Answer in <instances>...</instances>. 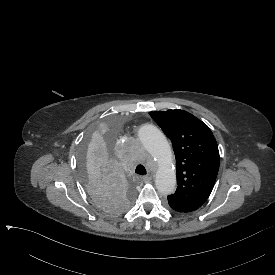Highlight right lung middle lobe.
Listing matches in <instances>:
<instances>
[{"mask_svg":"<svg viewBox=\"0 0 275 275\" xmlns=\"http://www.w3.org/2000/svg\"><path fill=\"white\" fill-rule=\"evenodd\" d=\"M121 130L122 123L116 117L99 121L87 132L78 152L80 183L88 187L94 204L110 214L125 211L135 198L131 178L113 148V136Z\"/></svg>","mask_w":275,"mask_h":275,"instance_id":"1","label":"right lung middle lobe"}]
</instances>
